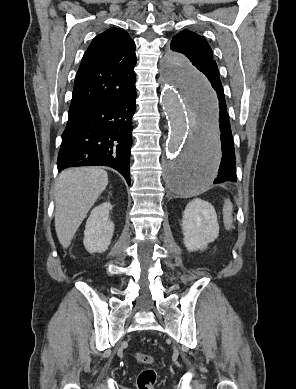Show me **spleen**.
Segmentation results:
<instances>
[{
	"label": "spleen",
	"mask_w": 296,
	"mask_h": 389,
	"mask_svg": "<svg viewBox=\"0 0 296 389\" xmlns=\"http://www.w3.org/2000/svg\"><path fill=\"white\" fill-rule=\"evenodd\" d=\"M232 210L233 206L230 200H225V204L223 206V221L227 230L231 229L232 226Z\"/></svg>",
	"instance_id": "spleen-1"
}]
</instances>
